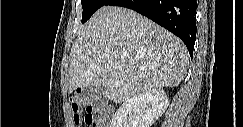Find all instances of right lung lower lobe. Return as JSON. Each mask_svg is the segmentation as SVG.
Instances as JSON below:
<instances>
[{"instance_id": "obj_1", "label": "right lung lower lobe", "mask_w": 243, "mask_h": 127, "mask_svg": "<svg viewBox=\"0 0 243 127\" xmlns=\"http://www.w3.org/2000/svg\"><path fill=\"white\" fill-rule=\"evenodd\" d=\"M105 5L126 7L150 18L178 36L193 57L196 0H108Z\"/></svg>"}]
</instances>
